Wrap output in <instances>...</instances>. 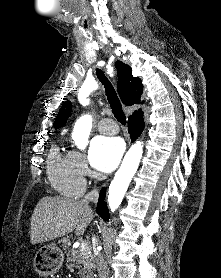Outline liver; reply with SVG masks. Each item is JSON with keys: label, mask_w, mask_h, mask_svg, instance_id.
<instances>
[{"label": "liver", "mask_w": 221, "mask_h": 278, "mask_svg": "<svg viewBox=\"0 0 221 278\" xmlns=\"http://www.w3.org/2000/svg\"><path fill=\"white\" fill-rule=\"evenodd\" d=\"M93 219V211L83 201L61 196H45L31 216L33 245L62 237L75 230L81 235Z\"/></svg>", "instance_id": "6515ba94"}]
</instances>
